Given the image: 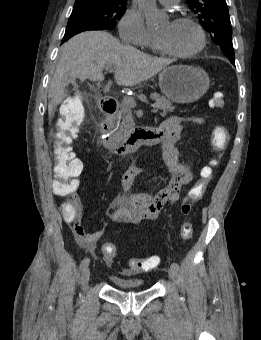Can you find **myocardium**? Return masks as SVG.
Returning <instances> with one entry per match:
<instances>
[{
    "label": "myocardium",
    "instance_id": "f54148a6",
    "mask_svg": "<svg viewBox=\"0 0 261 340\" xmlns=\"http://www.w3.org/2000/svg\"><path fill=\"white\" fill-rule=\"evenodd\" d=\"M174 22L187 23V24L192 25L196 29V31L198 32V35H199L198 46L190 52H184V53L176 52V51H172L169 48H167L164 45V43L157 36H155V40H156V43H157L159 50L166 55H170V56L182 58V59L192 58V57H195L196 55H198L199 53H201L206 46L207 38H206V33H205L203 27L200 25V23L197 20H195L191 17H187V16L178 17L174 20Z\"/></svg>",
    "mask_w": 261,
    "mask_h": 340
}]
</instances>
